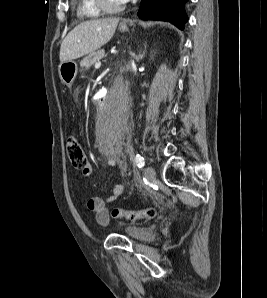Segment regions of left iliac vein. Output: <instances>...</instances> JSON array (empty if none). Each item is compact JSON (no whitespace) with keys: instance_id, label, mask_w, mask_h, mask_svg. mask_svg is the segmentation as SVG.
Wrapping results in <instances>:
<instances>
[{"instance_id":"left-iliac-vein-1","label":"left iliac vein","mask_w":267,"mask_h":298,"mask_svg":"<svg viewBox=\"0 0 267 298\" xmlns=\"http://www.w3.org/2000/svg\"><path fill=\"white\" fill-rule=\"evenodd\" d=\"M145 176L148 180H153L156 176V172L152 166H147L145 168Z\"/></svg>"}]
</instances>
